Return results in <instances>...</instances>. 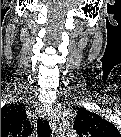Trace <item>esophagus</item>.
Instances as JSON below:
<instances>
[{
  "label": "esophagus",
  "mask_w": 121,
  "mask_h": 137,
  "mask_svg": "<svg viewBox=\"0 0 121 137\" xmlns=\"http://www.w3.org/2000/svg\"><path fill=\"white\" fill-rule=\"evenodd\" d=\"M49 123H50V126H51L52 130H54L55 129V123H54V121L52 120L51 117H49Z\"/></svg>",
  "instance_id": "obj_1"
}]
</instances>
